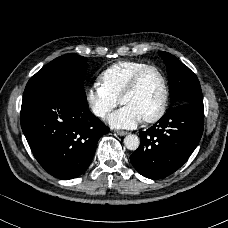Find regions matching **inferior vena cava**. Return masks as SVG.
<instances>
[{"instance_id":"1","label":"inferior vena cava","mask_w":228,"mask_h":228,"mask_svg":"<svg viewBox=\"0 0 228 228\" xmlns=\"http://www.w3.org/2000/svg\"><path fill=\"white\" fill-rule=\"evenodd\" d=\"M95 115L96 116H99V117H104L106 112L104 110H96L94 111Z\"/></svg>"}]
</instances>
